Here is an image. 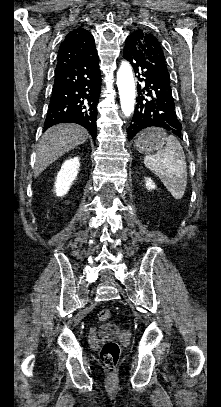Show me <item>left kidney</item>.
I'll use <instances>...</instances> for the list:
<instances>
[{
	"label": "left kidney",
	"mask_w": 221,
	"mask_h": 407,
	"mask_svg": "<svg viewBox=\"0 0 221 407\" xmlns=\"http://www.w3.org/2000/svg\"><path fill=\"white\" fill-rule=\"evenodd\" d=\"M155 184L153 183V181L150 178H146V188L147 189H155Z\"/></svg>",
	"instance_id": "obj_1"
}]
</instances>
